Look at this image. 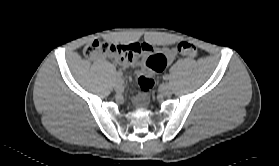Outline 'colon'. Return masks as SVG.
Returning a JSON list of instances; mask_svg holds the SVG:
<instances>
[{"label": "colon", "mask_w": 279, "mask_h": 166, "mask_svg": "<svg viewBox=\"0 0 279 166\" xmlns=\"http://www.w3.org/2000/svg\"><path fill=\"white\" fill-rule=\"evenodd\" d=\"M142 50L143 47L141 44L122 45L94 41L84 48L83 54L87 59L95 60L109 54L118 57H131L133 55L140 54ZM177 51L184 57L193 58L197 55V47L193 43L186 41L180 42L177 45ZM163 65L164 59L160 54L153 53L145 59V71L141 73L138 78V87L142 93L147 94L152 90L154 80L151 74L153 72H159Z\"/></svg>", "instance_id": "obj_1"}]
</instances>
